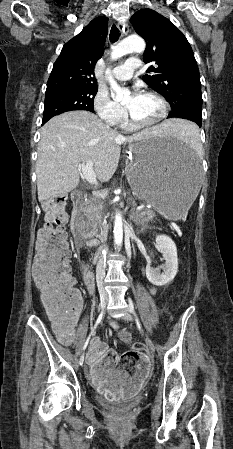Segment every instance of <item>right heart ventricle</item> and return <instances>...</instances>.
<instances>
[{"label":"right heart ventricle","mask_w":233,"mask_h":449,"mask_svg":"<svg viewBox=\"0 0 233 449\" xmlns=\"http://www.w3.org/2000/svg\"><path fill=\"white\" fill-rule=\"evenodd\" d=\"M118 126L121 129H124L126 131H132L134 127L131 125V123L128 121L126 116L118 123Z\"/></svg>","instance_id":"1"}]
</instances>
